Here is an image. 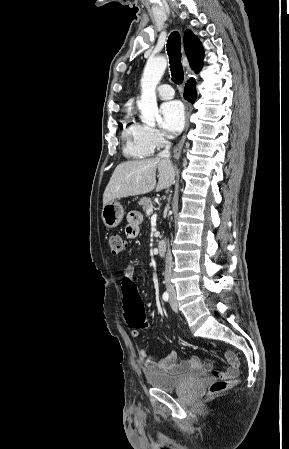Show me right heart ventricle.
Here are the masks:
<instances>
[{"mask_svg": "<svg viewBox=\"0 0 289 449\" xmlns=\"http://www.w3.org/2000/svg\"><path fill=\"white\" fill-rule=\"evenodd\" d=\"M122 137L126 156L144 158L152 153L151 148L143 138V126L135 122L131 116H128L126 119Z\"/></svg>", "mask_w": 289, "mask_h": 449, "instance_id": "e07e8e85", "label": "right heart ventricle"}]
</instances>
